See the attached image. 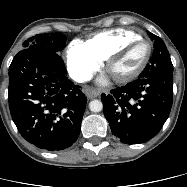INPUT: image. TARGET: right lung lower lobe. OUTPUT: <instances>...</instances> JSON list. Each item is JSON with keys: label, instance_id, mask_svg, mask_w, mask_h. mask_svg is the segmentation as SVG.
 Listing matches in <instances>:
<instances>
[{"label": "right lung lower lobe", "instance_id": "1", "mask_svg": "<svg viewBox=\"0 0 187 187\" xmlns=\"http://www.w3.org/2000/svg\"><path fill=\"white\" fill-rule=\"evenodd\" d=\"M8 101L20 134L38 148L70 147L80 134L87 98L67 78L56 53L23 49L9 67Z\"/></svg>", "mask_w": 187, "mask_h": 187}]
</instances>
